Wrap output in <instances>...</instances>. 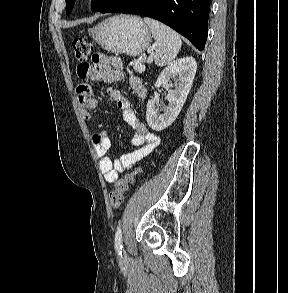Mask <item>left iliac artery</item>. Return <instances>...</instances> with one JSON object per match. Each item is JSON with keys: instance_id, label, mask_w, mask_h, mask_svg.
<instances>
[{"instance_id": "obj_1", "label": "left iliac artery", "mask_w": 288, "mask_h": 293, "mask_svg": "<svg viewBox=\"0 0 288 293\" xmlns=\"http://www.w3.org/2000/svg\"><path fill=\"white\" fill-rule=\"evenodd\" d=\"M115 248L118 251L119 255L122 254V230L121 226L117 228L116 234H115Z\"/></svg>"}]
</instances>
